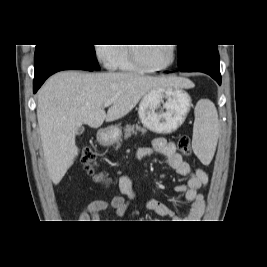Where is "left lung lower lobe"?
I'll return each instance as SVG.
<instances>
[{"mask_svg": "<svg viewBox=\"0 0 267 267\" xmlns=\"http://www.w3.org/2000/svg\"><path fill=\"white\" fill-rule=\"evenodd\" d=\"M180 71L206 73L216 80L219 85H221L218 50H208L201 53Z\"/></svg>", "mask_w": 267, "mask_h": 267, "instance_id": "obj_1", "label": "left lung lower lobe"}]
</instances>
